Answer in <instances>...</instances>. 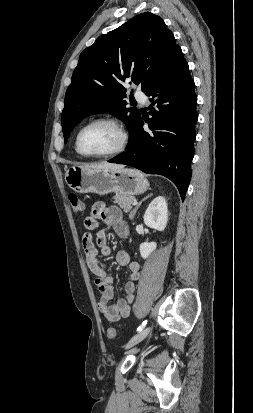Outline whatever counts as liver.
Returning a JSON list of instances; mask_svg holds the SVG:
<instances>
[{"label": "liver", "mask_w": 253, "mask_h": 413, "mask_svg": "<svg viewBox=\"0 0 253 413\" xmlns=\"http://www.w3.org/2000/svg\"><path fill=\"white\" fill-rule=\"evenodd\" d=\"M84 168L88 169H99V170H108V169H121L124 167L123 164H116V163H109V162H101V163H96V164H89L82 166Z\"/></svg>", "instance_id": "liver-1"}]
</instances>
